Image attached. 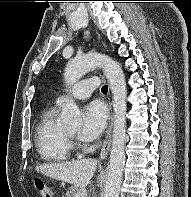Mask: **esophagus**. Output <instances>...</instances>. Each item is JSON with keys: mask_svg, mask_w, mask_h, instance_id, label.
Here are the masks:
<instances>
[{"mask_svg": "<svg viewBox=\"0 0 191 197\" xmlns=\"http://www.w3.org/2000/svg\"><path fill=\"white\" fill-rule=\"evenodd\" d=\"M109 110H110L109 125H108V129L106 132L105 140H104L101 152H100L101 159H105L107 157L108 152L111 147V143H112L113 115L111 112V102H109Z\"/></svg>", "mask_w": 191, "mask_h": 197, "instance_id": "1", "label": "esophagus"}]
</instances>
